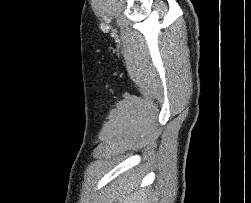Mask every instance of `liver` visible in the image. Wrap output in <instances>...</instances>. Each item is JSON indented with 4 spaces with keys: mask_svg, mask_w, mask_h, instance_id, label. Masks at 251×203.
<instances>
[{
    "mask_svg": "<svg viewBox=\"0 0 251 203\" xmlns=\"http://www.w3.org/2000/svg\"><path fill=\"white\" fill-rule=\"evenodd\" d=\"M139 180L131 177L128 182L121 183L118 191L114 193V201L118 203H147V195L144 190H137Z\"/></svg>",
    "mask_w": 251,
    "mask_h": 203,
    "instance_id": "liver-1",
    "label": "liver"
}]
</instances>
